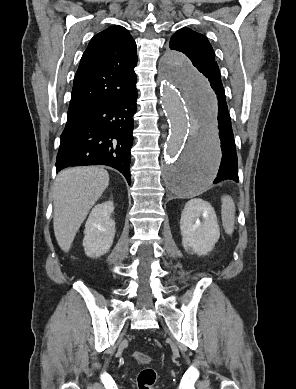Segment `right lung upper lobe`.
<instances>
[{
  "label": "right lung upper lobe",
  "instance_id": "obj_1",
  "mask_svg": "<svg viewBox=\"0 0 296 389\" xmlns=\"http://www.w3.org/2000/svg\"><path fill=\"white\" fill-rule=\"evenodd\" d=\"M136 43L114 25L96 34L76 72L67 117L118 99L136 79Z\"/></svg>",
  "mask_w": 296,
  "mask_h": 389
}]
</instances>
